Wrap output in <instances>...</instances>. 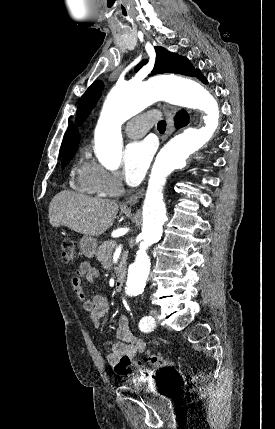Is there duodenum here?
<instances>
[{"label": "duodenum", "mask_w": 275, "mask_h": 429, "mask_svg": "<svg viewBox=\"0 0 275 429\" xmlns=\"http://www.w3.org/2000/svg\"><path fill=\"white\" fill-rule=\"evenodd\" d=\"M115 289L116 291H121L124 285V276L123 275H119L116 280H115Z\"/></svg>", "instance_id": "410a0bca"}]
</instances>
